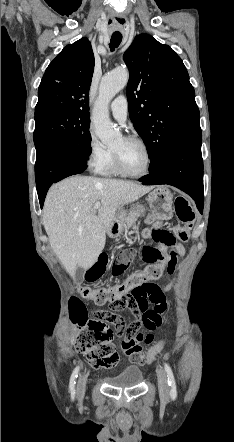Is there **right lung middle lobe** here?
Returning <instances> with one entry per match:
<instances>
[{"label":"right lung middle lobe","mask_w":234,"mask_h":442,"mask_svg":"<svg viewBox=\"0 0 234 442\" xmlns=\"http://www.w3.org/2000/svg\"><path fill=\"white\" fill-rule=\"evenodd\" d=\"M34 144H67L88 157L91 153L89 111H56L35 116Z\"/></svg>","instance_id":"1"}]
</instances>
